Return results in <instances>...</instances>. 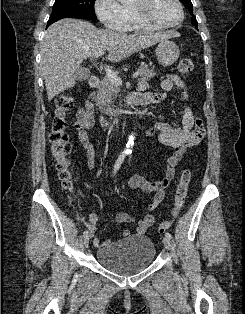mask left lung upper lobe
Masks as SVG:
<instances>
[{"instance_id":"obj_1","label":"left lung upper lobe","mask_w":245,"mask_h":314,"mask_svg":"<svg viewBox=\"0 0 245 314\" xmlns=\"http://www.w3.org/2000/svg\"><path fill=\"white\" fill-rule=\"evenodd\" d=\"M180 1L189 10L190 14L192 15L191 23L198 29V22L192 12L193 5L191 3V0H180Z\"/></svg>"}]
</instances>
